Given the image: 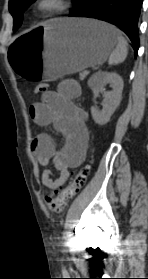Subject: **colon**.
<instances>
[{
    "label": "colon",
    "mask_w": 148,
    "mask_h": 279,
    "mask_svg": "<svg viewBox=\"0 0 148 279\" xmlns=\"http://www.w3.org/2000/svg\"><path fill=\"white\" fill-rule=\"evenodd\" d=\"M49 85L46 83H39L35 88L36 94H44L48 91ZM89 166L85 165L78 170L72 172V177L67 185L53 190L47 197L46 201L51 212L60 214L68 201L73 198L85 184Z\"/></svg>",
    "instance_id": "obj_1"
}]
</instances>
